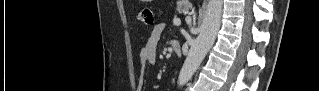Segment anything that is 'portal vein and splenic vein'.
<instances>
[{"mask_svg": "<svg viewBox=\"0 0 319 91\" xmlns=\"http://www.w3.org/2000/svg\"><path fill=\"white\" fill-rule=\"evenodd\" d=\"M173 22L175 25H180V23H181L179 19H174Z\"/></svg>", "mask_w": 319, "mask_h": 91, "instance_id": "obj_1", "label": "portal vein and splenic vein"}]
</instances>
